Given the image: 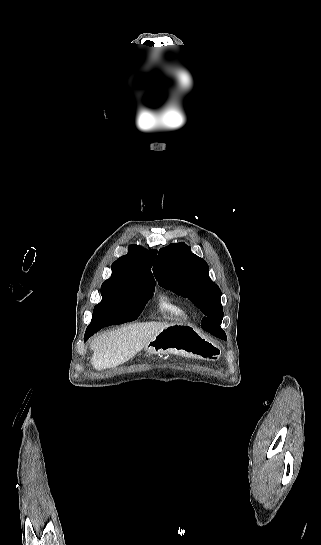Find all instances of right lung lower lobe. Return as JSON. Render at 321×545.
Returning a JSON list of instances; mask_svg holds the SVG:
<instances>
[{"label": "right lung lower lobe", "instance_id": "obj_1", "mask_svg": "<svg viewBox=\"0 0 321 545\" xmlns=\"http://www.w3.org/2000/svg\"><path fill=\"white\" fill-rule=\"evenodd\" d=\"M142 310V302L136 297H123L107 302L96 310L98 321L87 327L84 340L86 341L103 327L137 319Z\"/></svg>", "mask_w": 321, "mask_h": 545}]
</instances>
